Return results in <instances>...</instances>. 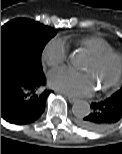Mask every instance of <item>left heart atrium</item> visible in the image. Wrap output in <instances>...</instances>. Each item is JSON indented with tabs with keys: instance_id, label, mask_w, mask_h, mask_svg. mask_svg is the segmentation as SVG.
<instances>
[{
	"instance_id": "1",
	"label": "left heart atrium",
	"mask_w": 122,
	"mask_h": 154,
	"mask_svg": "<svg viewBox=\"0 0 122 154\" xmlns=\"http://www.w3.org/2000/svg\"><path fill=\"white\" fill-rule=\"evenodd\" d=\"M48 80L52 88L71 96H89L94 91V84L89 73L61 68L51 71Z\"/></svg>"
}]
</instances>
